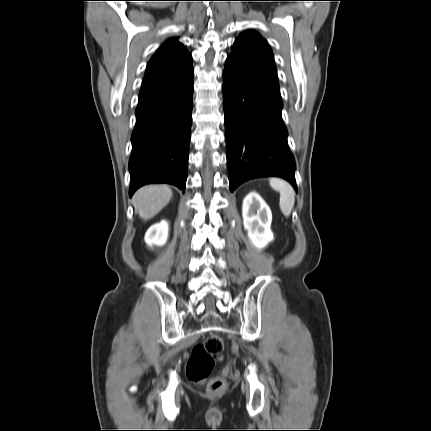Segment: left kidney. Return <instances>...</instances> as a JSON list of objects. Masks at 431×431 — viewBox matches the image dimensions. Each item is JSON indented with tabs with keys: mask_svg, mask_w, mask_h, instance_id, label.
<instances>
[{
	"mask_svg": "<svg viewBox=\"0 0 431 431\" xmlns=\"http://www.w3.org/2000/svg\"><path fill=\"white\" fill-rule=\"evenodd\" d=\"M243 225L251 243L258 249L265 248L273 241L270 229L272 213L269 206L256 192H250L242 204Z\"/></svg>",
	"mask_w": 431,
	"mask_h": 431,
	"instance_id": "obj_1",
	"label": "left kidney"
}]
</instances>
